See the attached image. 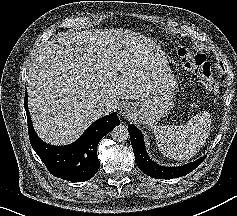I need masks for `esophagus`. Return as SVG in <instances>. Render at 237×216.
Here are the masks:
<instances>
[{"label":"esophagus","mask_w":237,"mask_h":216,"mask_svg":"<svg viewBox=\"0 0 237 216\" xmlns=\"http://www.w3.org/2000/svg\"><path fill=\"white\" fill-rule=\"evenodd\" d=\"M123 117L125 119H129V118L132 119V115H131V111L129 109V106L124 107V109H123Z\"/></svg>","instance_id":"esophagus-1"}]
</instances>
